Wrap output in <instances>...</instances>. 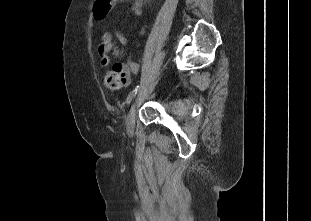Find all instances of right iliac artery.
Wrapping results in <instances>:
<instances>
[{
    "label": "right iliac artery",
    "instance_id": "82829eb1",
    "mask_svg": "<svg viewBox=\"0 0 311 221\" xmlns=\"http://www.w3.org/2000/svg\"><path fill=\"white\" fill-rule=\"evenodd\" d=\"M138 88H139V86H136V88L129 93V95H128L127 99H126V103L128 105L131 103V101L133 100V98L137 94Z\"/></svg>",
    "mask_w": 311,
    "mask_h": 221
}]
</instances>
